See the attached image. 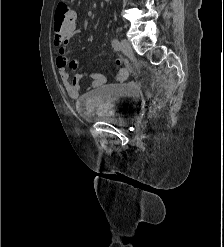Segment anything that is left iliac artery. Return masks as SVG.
Masks as SVG:
<instances>
[{"mask_svg": "<svg viewBox=\"0 0 224 247\" xmlns=\"http://www.w3.org/2000/svg\"><path fill=\"white\" fill-rule=\"evenodd\" d=\"M119 41L117 39H113L112 41V47L114 48V50H118L119 49Z\"/></svg>", "mask_w": 224, "mask_h": 247, "instance_id": "1", "label": "left iliac artery"}]
</instances>
